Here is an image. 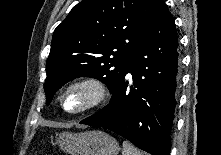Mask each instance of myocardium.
Masks as SVG:
<instances>
[{
	"label": "myocardium",
	"instance_id": "f54148a6",
	"mask_svg": "<svg viewBox=\"0 0 221 155\" xmlns=\"http://www.w3.org/2000/svg\"><path fill=\"white\" fill-rule=\"evenodd\" d=\"M82 90L86 93L85 103L75 110H69L64 104L65 97L71 91ZM108 96V88L103 80L94 76H85L69 82L59 95L61 109L70 115H80L92 111L105 102Z\"/></svg>",
	"mask_w": 221,
	"mask_h": 155
}]
</instances>
